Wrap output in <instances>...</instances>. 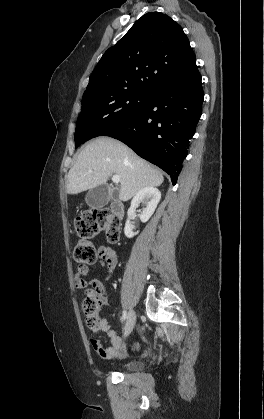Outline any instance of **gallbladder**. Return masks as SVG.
I'll return each instance as SVG.
<instances>
[{
  "label": "gallbladder",
  "mask_w": 264,
  "mask_h": 419,
  "mask_svg": "<svg viewBox=\"0 0 264 419\" xmlns=\"http://www.w3.org/2000/svg\"><path fill=\"white\" fill-rule=\"evenodd\" d=\"M114 197L118 195V191L114 190ZM110 200L109 187L105 184L99 185L88 191L85 201L88 206L93 208H101Z\"/></svg>",
  "instance_id": "1"
}]
</instances>
